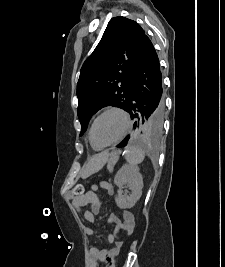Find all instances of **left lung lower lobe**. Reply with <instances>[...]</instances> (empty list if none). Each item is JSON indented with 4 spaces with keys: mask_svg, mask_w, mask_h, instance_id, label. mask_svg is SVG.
Returning a JSON list of instances; mask_svg holds the SVG:
<instances>
[{
    "mask_svg": "<svg viewBox=\"0 0 225 267\" xmlns=\"http://www.w3.org/2000/svg\"><path fill=\"white\" fill-rule=\"evenodd\" d=\"M138 121L151 117L153 123L162 125L164 118V101L162 88V74L157 53L150 39L144 41L134 73L128 111ZM127 137L117 147H124Z\"/></svg>",
    "mask_w": 225,
    "mask_h": 267,
    "instance_id": "1",
    "label": "left lung lower lobe"
}]
</instances>
